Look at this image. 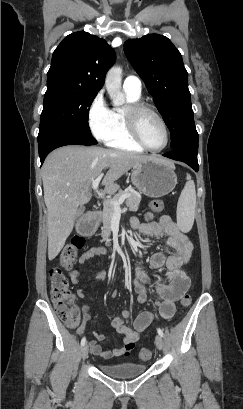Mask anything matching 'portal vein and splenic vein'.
<instances>
[{
    "label": "portal vein and splenic vein",
    "mask_w": 243,
    "mask_h": 409,
    "mask_svg": "<svg viewBox=\"0 0 243 409\" xmlns=\"http://www.w3.org/2000/svg\"><path fill=\"white\" fill-rule=\"evenodd\" d=\"M103 173H101L93 182H92V188L93 190H95V192H97L98 196L101 198H104V194L100 191H98V186L99 183L103 177ZM129 197L128 194L123 195L118 201H114V200H105L106 202L110 203L115 211H120V205L124 202V200Z\"/></svg>",
    "instance_id": "18ae733b"
}]
</instances>
